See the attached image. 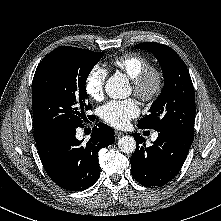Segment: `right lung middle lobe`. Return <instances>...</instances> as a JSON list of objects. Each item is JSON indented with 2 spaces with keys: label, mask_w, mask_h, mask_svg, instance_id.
<instances>
[{
  "label": "right lung middle lobe",
  "mask_w": 221,
  "mask_h": 221,
  "mask_svg": "<svg viewBox=\"0 0 221 221\" xmlns=\"http://www.w3.org/2000/svg\"><path fill=\"white\" fill-rule=\"evenodd\" d=\"M103 52L61 46L38 65L33 78L34 135L64 128H77L86 120L85 84Z\"/></svg>",
  "instance_id": "obj_1"
}]
</instances>
